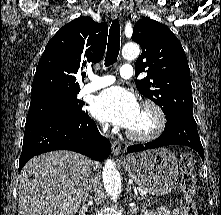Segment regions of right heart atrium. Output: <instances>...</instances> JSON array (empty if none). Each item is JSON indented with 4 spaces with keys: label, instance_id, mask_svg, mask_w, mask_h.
I'll return each instance as SVG.
<instances>
[{
    "label": "right heart atrium",
    "instance_id": "1",
    "mask_svg": "<svg viewBox=\"0 0 221 215\" xmlns=\"http://www.w3.org/2000/svg\"><path fill=\"white\" fill-rule=\"evenodd\" d=\"M100 129H101V131L105 132L107 130V125L106 124H101Z\"/></svg>",
    "mask_w": 221,
    "mask_h": 215
}]
</instances>
